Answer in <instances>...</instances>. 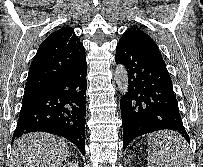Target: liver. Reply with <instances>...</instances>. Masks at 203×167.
I'll return each instance as SVG.
<instances>
[{
    "mask_svg": "<svg viewBox=\"0 0 203 167\" xmlns=\"http://www.w3.org/2000/svg\"><path fill=\"white\" fill-rule=\"evenodd\" d=\"M167 134L160 132L150 137L159 140ZM68 153L69 147L63 139L35 132L14 142L11 163L13 167H60Z\"/></svg>",
    "mask_w": 203,
    "mask_h": 167,
    "instance_id": "1",
    "label": "liver"
}]
</instances>
